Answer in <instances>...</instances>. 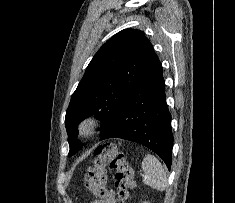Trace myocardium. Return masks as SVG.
<instances>
[{
	"label": "myocardium",
	"instance_id": "obj_1",
	"mask_svg": "<svg viewBox=\"0 0 235 203\" xmlns=\"http://www.w3.org/2000/svg\"><path fill=\"white\" fill-rule=\"evenodd\" d=\"M100 124L99 117L95 114L85 116L78 125V132L83 137L93 136Z\"/></svg>",
	"mask_w": 235,
	"mask_h": 203
}]
</instances>
